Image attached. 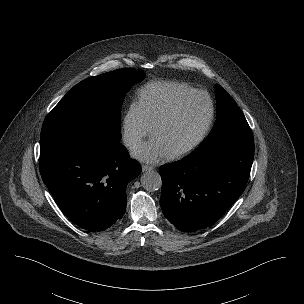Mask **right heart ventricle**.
<instances>
[{"instance_id":"right-heart-ventricle-1","label":"right heart ventricle","mask_w":304,"mask_h":304,"mask_svg":"<svg viewBox=\"0 0 304 304\" xmlns=\"http://www.w3.org/2000/svg\"><path fill=\"white\" fill-rule=\"evenodd\" d=\"M195 89L179 82L150 83L143 87L138 95V104L144 118L152 127L178 98Z\"/></svg>"}]
</instances>
